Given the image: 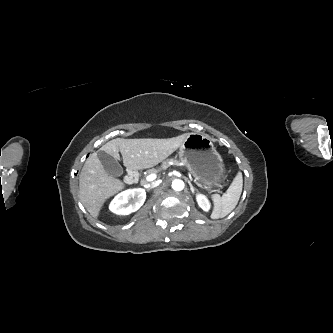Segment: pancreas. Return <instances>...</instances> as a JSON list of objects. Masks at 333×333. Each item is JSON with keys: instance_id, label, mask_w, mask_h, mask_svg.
<instances>
[{"instance_id": "obj_1", "label": "pancreas", "mask_w": 333, "mask_h": 333, "mask_svg": "<svg viewBox=\"0 0 333 333\" xmlns=\"http://www.w3.org/2000/svg\"><path fill=\"white\" fill-rule=\"evenodd\" d=\"M170 162L173 163V164H175V165L179 164V161L176 160V159H168V160L164 161V162L161 164L160 167H158L157 169H151V170L148 171V173H156V172L162 171V170L168 168ZM197 179H198V178H196V180H197ZM207 185H208V186H211L210 184H207Z\"/></svg>"}]
</instances>
